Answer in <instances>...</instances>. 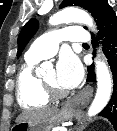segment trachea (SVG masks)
I'll return each instance as SVG.
<instances>
[{
    "instance_id": "3493384b",
    "label": "trachea",
    "mask_w": 117,
    "mask_h": 131,
    "mask_svg": "<svg viewBox=\"0 0 117 131\" xmlns=\"http://www.w3.org/2000/svg\"><path fill=\"white\" fill-rule=\"evenodd\" d=\"M83 45H87V43H83Z\"/></svg>"
}]
</instances>
